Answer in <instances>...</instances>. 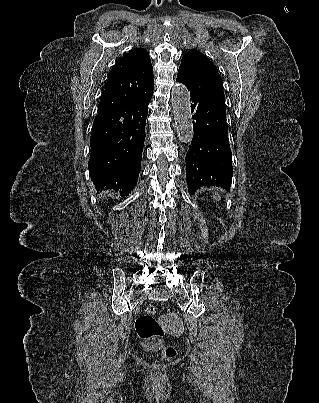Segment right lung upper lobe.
<instances>
[{
	"label": "right lung upper lobe",
	"mask_w": 319,
	"mask_h": 403,
	"mask_svg": "<svg viewBox=\"0 0 319 403\" xmlns=\"http://www.w3.org/2000/svg\"><path fill=\"white\" fill-rule=\"evenodd\" d=\"M153 67L148 52L136 48L120 58L110 71L98 111L129 105L152 96Z\"/></svg>",
	"instance_id": "right-lung-upper-lobe-1"
}]
</instances>
